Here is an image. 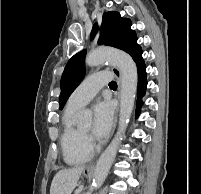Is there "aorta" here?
Returning <instances> with one entry per match:
<instances>
[{"label": "aorta", "mask_w": 201, "mask_h": 194, "mask_svg": "<svg viewBox=\"0 0 201 194\" xmlns=\"http://www.w3.org/2000/svg\"><path fill=\"white\" fill-rule=\"evenodd\" d=\"M87 66L95 67L103 63H109L119 68L121 73V94H120V117L118 131L109 146L100 156L94 170L93 187L98 189L105 181L109 169L115 160L117 149L123 140L125 130L129 123L136 96L138 72L137 66L127 53L108 47L97 48L87 54ZM83 123L90 122L92 113L83 110L79 114Z\"/></svg>", "instance_id": "aorta-1"}]
</instances>
